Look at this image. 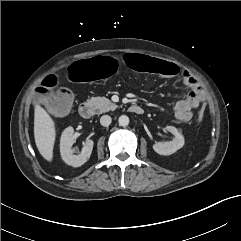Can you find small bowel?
Wrapping results in <instances>:
<instances>
[{
  "label": "small bowel",
  "mask_w": 241,
  "mask_h": 241,
  "mask_svg": "<svg viewBox=\"0 0 241 241\" xmlns=\"http://www.w3.org/2000/svg\"><path fill=\"white\" fill-rule=\"evenodd\" d=\"M181 77L183 82L191 88V92H189L185 98L176 102L175 116L180 122L187 123L192 118V110L204 102L206 93L199 84L198 80L191 73L183 71Z\"/></svg>",
  "instance_id": "small-bowel-1"
}]
</instances>
